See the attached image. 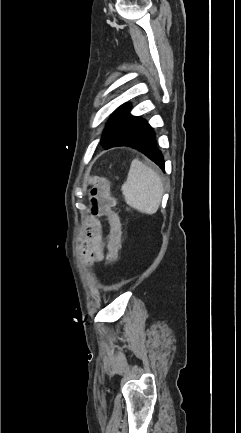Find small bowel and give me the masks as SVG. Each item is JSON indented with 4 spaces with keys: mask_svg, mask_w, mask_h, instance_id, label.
Here are the masks:
<instances>
[{
    "mask_svg": "<svg viewBox=\"0 0 241 433\" xmlns=\"http://www.w3.org/2000/svg\"><path fill=\"white\" fill-rule=\"evenodd\" d=\"M105 250L103 223L90 217L86 220L85 236L81 243L82 258L88 265H93L104 260Z\"/></svg>",
    "mask_w": 241,
    "mask_h": 433,
    "instance_id": "small-bowel-1",
    "label": "small bowel"
}]
</instances>
